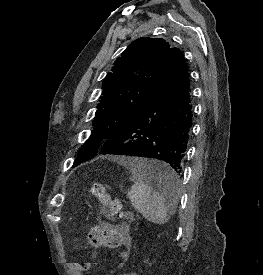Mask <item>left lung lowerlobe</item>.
I'll list each match as a JSON object with an SVG mask.
<instances>
[{
    "instance_id": "left-lung-lower-lobe-1",
    "label": "left lung lower lobe",
    "mask_w": 263,
    "mask_h": 275,
    "mask_svg": "<svg viewBox=\"0 0 263 275\" xmlns=\"http://www.w3.org/2000/svg\"><path fill=\"white\" fill-rule=\"evenodd\" d=\"M193 102L189 70L178 49L161 83L122 131L104 142L102 154L154 158L171 171L144 170L147 180L173 191L192 127Z\"/></svg>"
}]
</instances>
